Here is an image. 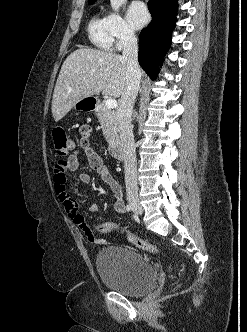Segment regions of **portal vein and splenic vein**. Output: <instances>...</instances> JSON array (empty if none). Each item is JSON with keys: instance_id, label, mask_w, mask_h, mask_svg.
I'll return each mask as SVG.
<instances>
[{"instance_id": "obj_1", "label": "portal vein and splenic vein", "mask_w": 247, "mask_h": 332, "mask_svg": "<svg viewBox=\"0 0 247 332\" xmlns=\"http://www.w3.org/2000/svg\"><path fill=\"white\" fill-rule=\"evenodd\" d=\"M105 105L107 106V108L113 109L117 107V101L113 98H109L105 101Z\"/></svg>"}]
</instances>
